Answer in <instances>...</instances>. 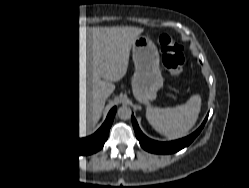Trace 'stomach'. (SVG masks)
Returning a JSON list of instances; mask_svg holds the SVG:
<instances>
[{"mask_svg": "<svg viewBox=\"0 0 249 188\" xmlns=\"http://www.w3.org/2000/svg\"><path fill=\"white\" fill-rule=\"evenodd\" d=\"M132 55L135 65L133 93L137 100L147 103L156 98L163 86L159 53L149 37L138 36L132 43Z\"/></svg>", "mask_w": 249, "mask_h": 188, "instance_id": "obj_1", "label": "stomach"}]
</instances>
